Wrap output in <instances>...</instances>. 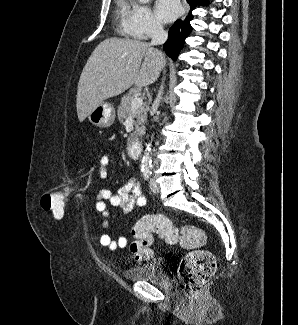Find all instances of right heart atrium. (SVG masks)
Wrapping results in <instances>:
<instances>
[{"label":"right heart atrium","instance_id":"1","mask_svg":"<svg viewBox=\"0 0 298 325\" xmlns=\"http://www.w3.org/2000/svg\"><path fill=\"white\" fill-rule=\"evenodd\" d=\"M132 22L137 25H128L127 37L132 41H151V30H162L150 6L139 2L132 7Z\"/></svg>","mask_w":298,"mask_h":325}]
</instances>
